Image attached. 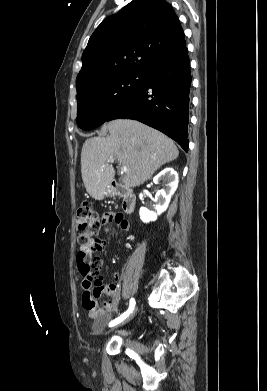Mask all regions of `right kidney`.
Returning a JSON list of instances; mask_svg holds the SVG:
<instances>
[{
    "instance_id": "right-kidney-1",
    "label": "right kidney",
    "mask_w": 267,
    "mask_h": 391,
    "mask_svg": "<svg viewBox=\"0 0 267 391\" xmlns=\"http://www.w3.org/2000/svg\"><path fill=\"white\" fill-rule=\"evenodd\" d=\"M178 179V173L173 168H166L154 177L153 182L155 184L163 181L165 186L156 193L154 199V208L157 212L149 211L145 207L140 208L139 215L142 222L155 221L158 215L166 211L171 197L178 187Z\"/></svg>"
}]
</instances>
